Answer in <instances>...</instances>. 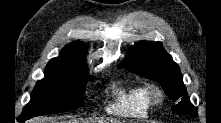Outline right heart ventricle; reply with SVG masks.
Wrapping results in <instances>:
<instances>
[{
  "label": "right heart ventricle",
  "instance_id": "1",
  "mask_svg": "<svg viewBox=\"0 0 221 123\" xmlns=\"http://www.w3.org/2000/svg\"><path fill=\"white\" fill-rule=\"evenodd\" d=\"M150 109L145 87L140 84L119 85L108 111L124 117L144 118Z\"/></svg>",
  "mask_w": 221,
  "mask_h": 123
}]
</instances>
